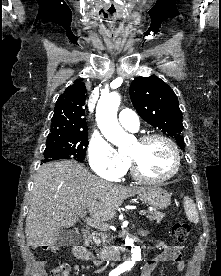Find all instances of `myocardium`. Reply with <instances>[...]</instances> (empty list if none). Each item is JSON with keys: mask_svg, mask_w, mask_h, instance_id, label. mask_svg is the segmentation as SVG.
<instances>
[{"mask_svg": "<svg viewBox=\"0 0 221 276\" xmlns=\"http://www.w3.org/2000/svg\"><path fill=\"white\" fill-rule=\"evenodd\" d=\"M155 139H159L164 141L165 143L168 144V146L171 148L173 156H174V168L173 170L162 177H150L148 175H146L140 168L138 162L132 157H129L130 160V164H131V171L134 175L135 178H137L138 180L145 182V183H161V182H165L167 180H170L171 178H173L174 176H176L180 170L181 167V155H180V151L176 145V143L168 136L164 135V134H159V133H152V134H146L141 136L138 139L139 143H146L149 142L151 140H155Z\"/></svg>", "mask_w": 221, "mask_h": 276, "instance_id": "myocardium-1", "label": "myocardium"}]
</instances>
